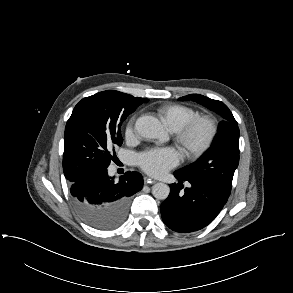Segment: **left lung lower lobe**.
<instances>
[{
  "mask_svg": "<svg viewBox=\"0 0 293 293\" xmlns=\"http://www.w3.org/2000/svg\"><path fill=\"white\" fill-rule=\"evenodd\" d=\"M178 184L170 185V194L161 204L163 222L173 231L190 233L207 226L226 204L231 190L197 177L174 172ZM191 184L181 192L182 183Z\"/></svg>",
  "mask_w": 293,
  "mask_h": 293,
  "instance_id": "0a47b994",
  "label": "left lung lower lobe"
}]
</instances>
